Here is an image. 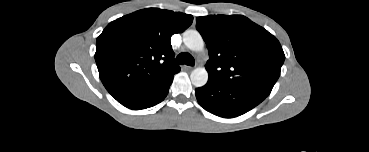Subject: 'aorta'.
I'll return each mask as SVG.
<instances>
[{"instance_id": "1", "label": "aorta", "mask_w": 369, "mask_h": 152, "mask_svg": "<svg viewBox=\"0 0 369 152\" xmlns=\"http://www.w3.org/2000/svg\"><path fill=\"white\" fill-rule=\"evenodd\" d=\"M184 44L192 51L200 52L204 49V41L200 33L196 30H187L183 33ZM192 84L195 87H202L208 81V72L205 68H195L190 75Z\"/></svg>"}]
</instances>
